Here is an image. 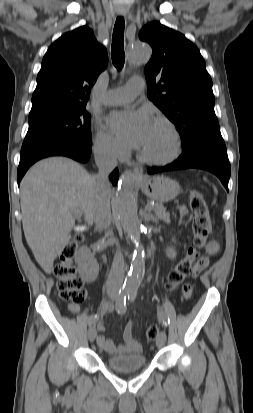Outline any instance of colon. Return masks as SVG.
I'll use <instances>...</instances> for the list:
<instances>
[{
	"mask_svg": "<svg viewBox=\"0 0 253 413\" xmlns=\"http://www.w3.org/2000/svg\"><path fill=\"white\" fill-rule=\"evenodd\" d=\"M190 208L193 219V245L168 273L166 289L174 291L191 273L193 264L198 260L200 250L207 245L210 232V219L204 195L199 190H193L190 196ZM83 236L77 235L68 243L61 254L60 261L54 266V275L57 278L58 294L62 300L72 304L81 303L86 297L83 280L77 275L73 259L77 253L78 245ZM158 336V328L151 326L146 331L148 341H153Z\"/></svg>",
	"mask_w": 253,
	"mask_h": 413,
	"instance_id": "colon-1",
	"label": "colon"
}]
</instances>
